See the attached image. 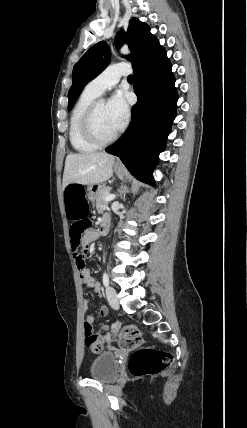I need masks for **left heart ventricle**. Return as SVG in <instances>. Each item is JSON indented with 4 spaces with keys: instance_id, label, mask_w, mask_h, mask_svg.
<instances>
[{
    "instance_id": "left-heart-ventricle-1",
    "label": "left heart ventricle",
    "mask_w": 247,
    "mask_h": 428,
    "mask_svg": "<svg viewBox=\"0 0 247 428\" xmlns=\"http://www.w3.org/2000/svg\"><path fill=\"white\" fill-rule=\"evenodd\" d=\"M94 128L97 134L103 139L109 138L117 130L108 115L105 102L99 105L95 113Z\"/></svg>"
}]
</instances>
